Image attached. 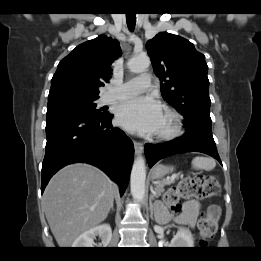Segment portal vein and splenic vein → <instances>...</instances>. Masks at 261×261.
I'll use <instances>...</instances> for the list:
<instances>
[{
	"mask_svg": "<svg viewBox=\"0 0 261 261\" xmlns=\"http://www.w3.org/2000/svg\"><path fill=\"white\" fill-rule=\"evenodd\" d=\"M177 177V175L176 174H173L172 176H171V178H170V180H169V182L171 183V182H173L174 181V179Z\"/></svg>",
	"mask_w": 261,
	"mask_h": 261,
	"instance_id": "18ae733b",
	"label": "portal vein and splenic vein"
}]
</instances>
